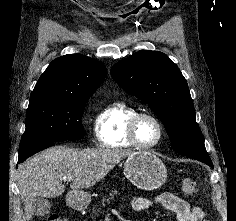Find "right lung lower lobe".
Here are the masks:
<instances>
[{
	"label": "right lung lower lobe",
	"mask_w": 236,
	"mask_h": 221,
	"mask_svg": "<svg viewBox=\"0 0 236 221\" xmlns=\"http://www.w3.org/2000/svg\"><path fill=\"white\" fill-rule=\"evenodd\" d=\"M53 144H54V142L39 144V145L31 146V147H28V148H25V149L19 151L18 163L24 162V160L27 159L28 157L32 156L33 154H35L43 149H46V148L52 146Z\"/></svg>",
	"instance_id": "1"
}]
</instances>
